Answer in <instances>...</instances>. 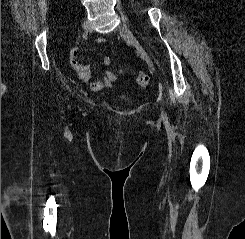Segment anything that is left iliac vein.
Listing matches in <instances>:
<instances>
[{
	"mask_svg": "<svg viewBox=\"0 0 245 239\" xmlns=\"http://www.w3.org/2000/svg\"><path fill=\"white\" fill-rule=\"evenodd\" d=\"M118 31L121 34V36H123L124 38H126V40L128 42H130L136 48V50L139 52V54L141 55V57L146 61V63L150 66V68L152 70H155L152 60L150 59L149 55L144 50V48L142 47V45L139 43V41L137 40V38L134 36V34L132 33V31L128 27H126V26H119L118 27Z\"/></svg>",
	"mask_w": 245,
	"mask_h": 239,
	"instance_id": "left-iliac-vein-1",
	"label": "left iliac vein"
}]
</instances>
